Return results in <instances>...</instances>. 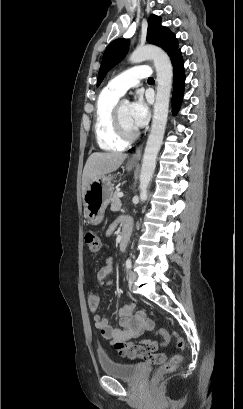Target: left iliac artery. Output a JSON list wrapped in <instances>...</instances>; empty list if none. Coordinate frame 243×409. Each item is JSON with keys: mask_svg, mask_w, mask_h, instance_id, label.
Listing matches in <instances>:
<instances>
[{"mask_svg": "<svg viewBox=\"0 0 243 409\" xmlns=\"http://www.w3.org/2000/svg\"><path fill=\"white\" fill-rule=\"evenodd\" d=\"M131 267H132V261H131V259H127V261H126V269H127V271H129V270L131 269Z\"/></svg>", "mask_w": 243, "mask_h": 409, "instance_id": "obj_1", "label": "left iliac artery"}]
</instances>
